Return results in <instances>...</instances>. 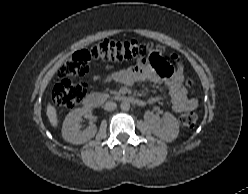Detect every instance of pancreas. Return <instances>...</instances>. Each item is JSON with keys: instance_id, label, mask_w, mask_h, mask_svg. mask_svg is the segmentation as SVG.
I'll use <instances>...</instances> for the list:
<instances>
[{"instance_id": "cf45deb5", "label": "pancreas", "mask_w": 248, "mask_h": 194, "mask_svg": "<svg viewBox=\"0 0 248 194\" xmlns=\"http://www.w3.org/2000/svg\"><path fill=\"white\" fill-rule=\"evenodd\" d=\"M110 93H111V95H118V93L116 91H111ZM105 96L109 97V95H105Z\"/></svg>"}]
</instances>
